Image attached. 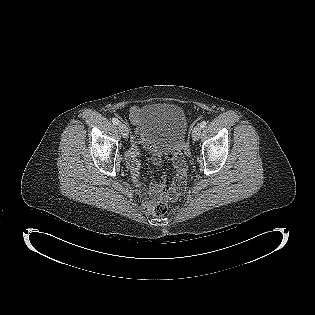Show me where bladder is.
<instances>
[{
	"label": "bladder",
	"mask_w": 315,
	"mask_h": 315,
	"mask_svg": "<svg viewBox=\"0 0 315 315\" xmlns=\"http://www.w3.org/2000/svg\"><path fill=\"white\" fill-rule=\"evenodd\" d=\"M137 136L147 146L167 148L184 141L188 122L183 109L173 104H148L138 112Z\"/></svg>",
	"instance_id": "obj_1"
}]
</instances>
